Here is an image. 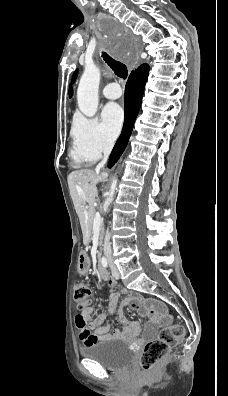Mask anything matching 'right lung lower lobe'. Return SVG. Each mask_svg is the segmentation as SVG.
<instances>
[{"label": "right lung lower lobe", "instance_id": "98d812e1", "mask_svg": "<svg viewBox=\"0 0 228 396\" xmlns=\"http://www.w3.org/2000/svg\"><path fill=\"white\" fill-rule=\"evenodd\" d=\"M148 73H149V66L147 64H143L140 67H138L137 70L132 71L129 76L125 88V95H124V101H125L124 126L122 129V133L119 139L117 140L114 149L110 155V159L108 163L109 168H111L114 162H116L119 159L120 155L122 154L128 143L135 119L138 115L141 106L142 96L144 92L145 83L148 77Z\"/></svg>", "mask_w": 228, "mask_h": 396}]
</instances>
